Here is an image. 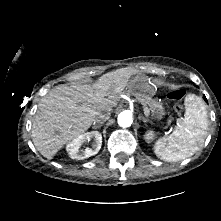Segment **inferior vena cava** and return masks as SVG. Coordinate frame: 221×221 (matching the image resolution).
<instances>
[{
  "label": "inferior vena cava",
  "mask_w": 221,
  "mask_h": 221,
  "mask_svg": "<svg viewBox=\"0 0 221 221\" xmlns=\"http://www.w3.org/2000/svg\"><path fill=\"white\" fill-rule=\"evenodd\" d=\"M109 115H110L109 112H106V113H98V114L96 115V117L94 118V120H93L94 125H95V124H97V125L103 124L106 120L109 119Z\"/></svg>",
  "instance_id": "1"
}]
</instances>
